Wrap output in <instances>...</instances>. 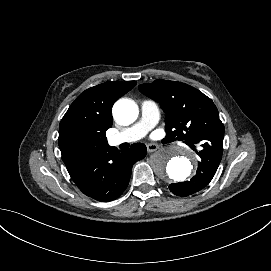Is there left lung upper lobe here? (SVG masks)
Segmentation results:
<instances>
[{
    "instance_id": "obj_1",
    "label": "left lung upper lobe",
    "mask_w": 271,
    "mask_h": 271,
    "mask_svg": "<svg viewBox=\"0 0 271 271\" xmlns=\"http://www.w3.org/2000/svg\"><path fill=\"white\" fill-rule=\"evenodd\" d=\"M139 90L160 103L166 113L164 140H185L192 144L223 152L224 125L213 101L196 88L185 83L155 80L141 84Z\"/></svg>"
}]
</instances>
